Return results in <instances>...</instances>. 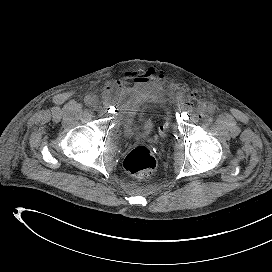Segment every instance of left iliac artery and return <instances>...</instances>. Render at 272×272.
Here are the masks:
<instances>
[{"instance_id":"44dca946","label":"left iliac artery","mask_w":272,"mask_h":272,"mask_svg":"<svg viewBox=\"0 0 272 272\" xmlns=\"http://www.w3.org/2000/svg\"><path fill=\"white\" fill-rule=\"evenodd\" d=\"M215 110H216L215 105H213V104L208 105V112L210 114H213L215 112Z\"/></svg>"}]
</instances>
